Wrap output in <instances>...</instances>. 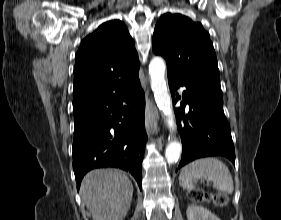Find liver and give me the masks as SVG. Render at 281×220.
Here are the masks:
<instances>
[{"label": "liver", "mask_w": 281, "mask_h": 220, "mask_svg": "<svg viewBox=\"0 0 281 220\" xmlns=\"http://www.w3.org/2000/svg\"><path fill=\"white\" fill-rule=\"evenodd\" d=\"M80 194L93 220H123L131 206L133 185L119 169H95L84 176Z\"/></svg>", "instance_id": "liver-1"}]
</instances>
